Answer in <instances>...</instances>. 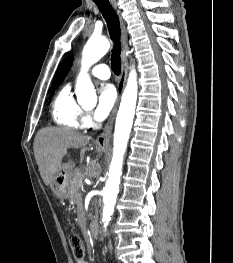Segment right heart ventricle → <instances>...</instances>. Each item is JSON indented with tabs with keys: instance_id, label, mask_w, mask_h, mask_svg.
<instances>
[{
	"instance_id": "right-heart-ventricle-1",
	"label": "right heart ventricle",
	"mask_w": 233,
	"mask_h": 263,
	"mask_svg": "<svg viewBox=\"0 0 233 263\" xmlns=\"http://www.w3.org/2000/svg\"><path fill=\"white\" fill-rule=\"evenodd\" d=\"M83 111L74 98L69 85H65L57 93L52 105V117L56 124L72 129L83 127L81 117Z\"/></svg>"
}]
</instances>
